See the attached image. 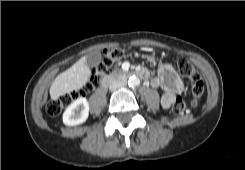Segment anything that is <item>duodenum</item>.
<instances>
[{
	"label": "duodenum",
	"mask_w": 245,
	"mask_h": 170,
	"mask_svg": "<svg viewBox=\"0 0 245 170\" xmlns=\"http://www.w3.org/2000/svg\"><path fill=\"white\" fill-rule=\"evenodd\" d=\"M136 75H138L140 78H146L147 72L145 70H138L136 72ZM124 77H125V74H116L114 77H106V78L102 79V81L100 82V88L101 89L106 88L109 85L110 81L114 78L121 79Z\"/></svg>",
	"instance_id": "1"
}]
</instances>
